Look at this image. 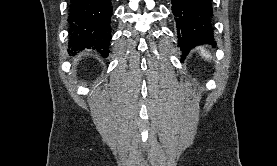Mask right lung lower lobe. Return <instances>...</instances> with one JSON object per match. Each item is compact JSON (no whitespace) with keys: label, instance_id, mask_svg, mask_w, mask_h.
Instances as JSON below:
<instances>
[{"label":"right lung lower lobe","instance_id":"right-lung-lower-lobe-1","mask_svg":"<svg viewBox=\"0 0 277 166\" xmlns=\"http://www.w3.org/2000/svg\"><path fill=\"white\" fill-rule=\"evenodd\" d=\"M111 0H70L71 52L95 49L107 57L111 39Z\"/></svg>","mask_w":277,"mask_h":166}]
</instances>
